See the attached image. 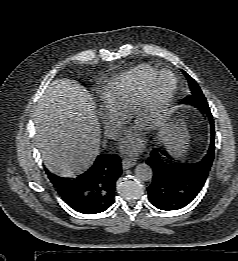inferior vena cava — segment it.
<instances>
[{
  "label": "inferior vena cava",
  "mask_w": 238,
  "mask_h": 261,
  "mask_svg": "<svg viewBox=\"0 0 238 261\" xmlns=\"http://www.w3.org/2000/svg\"><path fill=\"white\" fill-rule=\"evenodd\" d=\"M106 136L110 137V138H114V136H116V135H115V132L113 130H107Z\"/></svg>",
  "instance_id": "602c4592"
}]
</instances>
